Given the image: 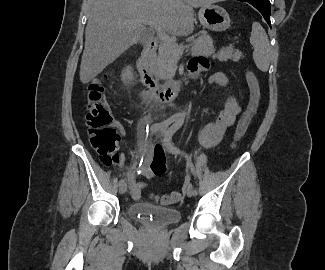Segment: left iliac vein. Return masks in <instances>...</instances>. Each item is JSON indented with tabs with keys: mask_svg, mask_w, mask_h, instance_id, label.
I'll return each mask as SVG.
<instances>
[{
	"mask_svg": "<svg viewBox=\"0 0 325 270\" xmlns=\"http://www.w3.org/2000/svg\"><path fill=\"white\" fill-rule=\"evenodd\" d=\"M162 133L164 134V139H165V136H166V131L163 130ZM163 145L165 146V148L170 152V153H173L167 146L165 140H163ZM186 194L188 197H192L194 195V188L192 186V184H189L187 186V189H186Z\"/></svg>",
	"mask_w": 325,
	"mask_h": 270,
	"instance_id": "obj_1",
	"label": "left iliac vein"
}]
</instances>
